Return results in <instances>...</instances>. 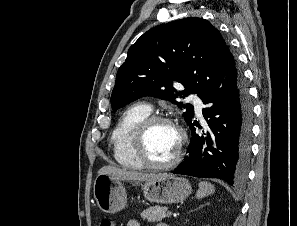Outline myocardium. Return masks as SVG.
<instances>
[{
	"mask_svg": "<svg viewBox=\"0 0 297 226\" xmlns=\"http://www.w3.org/2000/svg\"><path fill=\"white\" fill-rule=\"evenodd\" d=\"M160 122L172 125L178 132L179 138L177 149L174 153V156L166 162L157 163L152 161L146 152V137L149 129L154 124ZM186 139L187 136L185 130L176 120L166 115L150 114L136 126L132 136L131 145L135 157L140 161V163L144 167L154 170H162L172 168L180 162L183 156Z\"/></svg>",
	"mask_w": 297,
	"mask_h": 226,
	"instance_id": "f54148a6",
	"label": "myocardium"
}]
</instances>
